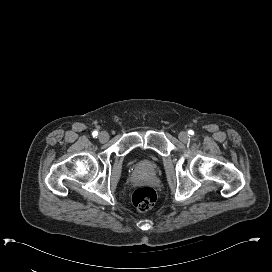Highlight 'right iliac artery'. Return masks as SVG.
<instances>
[{"label":"right iliac artery","instance_id":"82829eb1","mask_svg":"<svg viewBox=\"0 0 272 272\" xmlns=\"http://www.w3.org/2000/svg\"><path fill=\"white\" fill-rule=\"evenodd\" d=\"M92 135H93V137H97L98 136V132L97 131H93Z\"/></svg>","mask_w":272,"mask_h":272}]
</instances>
